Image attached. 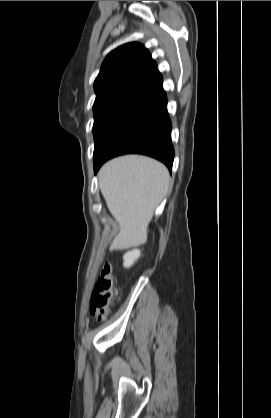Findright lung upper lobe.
I'll use <instances>...</instances> for the list:
<instances>
[{
    "label": "right lung upper lobe",
    "mask_w": 271,
    "mask_h": 418,
    "mask_svg": "<svg viewBox=\"0 0 271 418\" xmlns=\"http://www.w3.org/2000/svg\"><path fill=\"white\" fill-rule=\"evenodd\" d=\"M94 89V104L133 98L155 105L166 99L157 65L139 43L125 44L105 58Z\"/></svg>",
    "instance_id": "1"
}]
</instances>
